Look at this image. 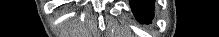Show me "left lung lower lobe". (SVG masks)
<instances>
[{
    "instance_id": "1",
    "label": "left lung lower lobe",
    "mask_w": 219,
    "mask_h": 37,
    "mask_svg": "<svg viewBox=\"0 0 219 37\" xmlns=\"http://www.w3.org/2000/svg\"><path fill=\"white\" fill-rule=\"evenodd\" d=\"M130 5L134 15L140 22H151L154 14V0H130Z\"/></svg>"
}]
</instances>
